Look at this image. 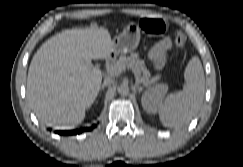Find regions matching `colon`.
Returning <instances> with one entry per match:
<instances>
[{
  "label": "colon",
  "instance_id": "colon-1",
  "mask_svg": "<svg viewBox=\"0 0 243 167\" xmlns=\"http://www.w3.org/2000/svg\"><path fill=\"white\" fill-rule=\"evenodd\" d=\"M140 27L148 35H160L171 28V23L162 18L145 17L141 19ZM173 38L175 44L179 47H183L186 43V35L180 30L174 32Z\"/></svg>",
  "mask_w": 243,
  "mask_h": 167
}]
</instances>
